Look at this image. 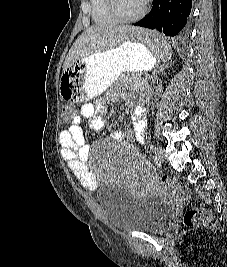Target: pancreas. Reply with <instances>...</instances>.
Returning <instances> with one entry per match:
<instances>
[{
  "label": "pancreas",
  "instance_id": "1",
  "mask_svg": "<svg viewBox=\"0 0 227 267\" xmlns=\"http://www.w3.org/2000/svg\"><path fill=\"white\" fill-rule=\"evenodd\" d=\"M116 84H121L125 88L133 89L136 91H142L145 89L146 82L137 75H122L117 80Z\"/></svg>",
  "mask_w": 227,
  "mask_h": 267
}]
</instances>
